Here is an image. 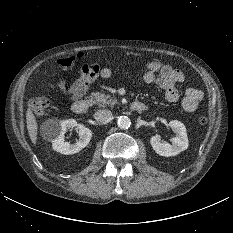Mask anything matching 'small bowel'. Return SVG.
Instances as JSON below:
<instances>
[{
    "label": "small bowel",
    "mask_w": 233,
    "mask_h": 233,
    "mask_svg": "<svg viewBox=\"0 0 233 233\" xmlns=\"http://www.w3.org/2000/svg\"><path fill=\"white\" fill-rule=\"evenodd\" d=\"M112 75L111 69L100 67L97 64H81L78 78L67 86L65 81L59 80L52 87L71 99H77L85 95L91 83L98 77L108 78ZM184 80V74L179 69L169 65H162L160 62L152 60L146 64L144 81L146 84H157L163 91L166 101L176 102L180 94L176 89V84ZM203 98V93L197 88H187L182 97V106L187 112H194L199 107Z\"/></svg>",
    "instance_id": "obj_1"
}]
</instances>
